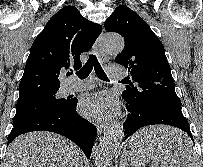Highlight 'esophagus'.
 Segmentation results:
<instances>
[{"label": "esophagus", "mask_w": 203, "mask_h": 167, "mask_svg": "<svg viewBox=\"0 0 203 167\" xmlns=\"http://www.w3.org/2000/svg\"><path fill=\"white\" fill-rule=\"evenodd\" d=\"M102 38H103V32L100 34V36L96 40L95 48H96L100 62L104 64L107 61V55L102 47ZM108 128H109L108 124H101V125L97 126V131L99 134H103V133H105V131Z\"/></svg>", "instance_id": "1"}]
</instances>
